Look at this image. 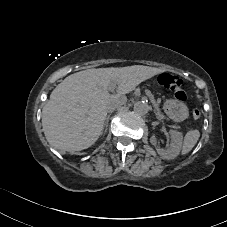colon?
<instances>
[{
	"mask_svg": "<svg viewBox=\"0 0 227 227\" xmlns=\"http://www.w3.org/2000/svg\"><path fill=\"white\" fill-rule=\"evenodd\" d=\"M159 84L170 91L172 95L180 101L187 99V91L183 84V79L179 76L170 73H162L158 78ZM202 112L199 108L195 107L192 110V117L195 120L200 119Z\"/></svg>",
	"mask_w": 227,
	"mask_h": 227,
	"instance_id": "1",
	"label": "colon"
}]
</instances>
